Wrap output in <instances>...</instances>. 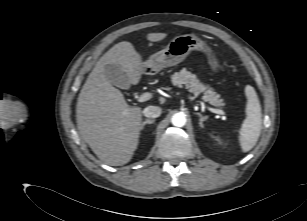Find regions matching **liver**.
Wrapping results in <instances>:
<instances>
[{
  "label": "liver",
  "instance_id": "liver-1",
  "mask_svg": "<svg viewBox=\"0 0 307 221\" xmlns=\"http://www.w3.org/2000/svg\"><path fill=\"white\" fill-rule=\"evenodd\" d=\"M166 36L150 33L147 40L159 42ZM106 65L119 66L133 85L139 83L145 70L154 71L130 42H119L99 59L80 91L76 121L81 137L104 163L121 166L132 159L137 149L142 110L129 106L121 91L107 80Z\"/></svg>",
  "mask_w": 307,
  "mask_h": 221
}]
</instances>
